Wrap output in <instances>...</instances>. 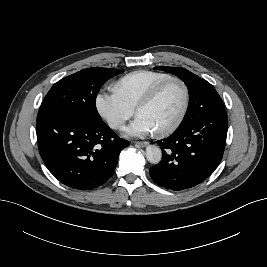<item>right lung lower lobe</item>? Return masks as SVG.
<instances>
[{"mask_svg": "<svg viewBox=\"0 0 267 267\" xmlns=\"http://www.w3.org/2000/svg\"><path fill=\"white\" fill-rule=\"evenodd\" d=\"M39 153L49 171L64 185L90 190L113 174L129 142L109 126L91 123L63 108L42 104L37 115Z\"/></svg>", "mask_w": 267, "mask_h": 267, "instance_id": "obj_1", "label": "right lung lower lobe"}]
</instances>
